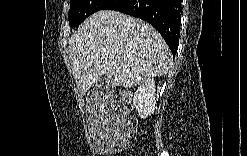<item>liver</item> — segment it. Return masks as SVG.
<instances>
[{
  "mask_svg": "<svg viewBox=\"0 0 247 156\" xmlns=\"http://www.w3.org/2000/svg\"><path fill=\"white\" fill-rule=\"evenodd\" d=\"M73 76L85 93L101 76L132 87L169 71L172 55L148 23L114 10L98 11L69 40Z\"/></svg>",
  "mask_w": 247,
  "mask_h": 156,
  "instance_id": "1",
  "label": "liver"
}]
</instances>
